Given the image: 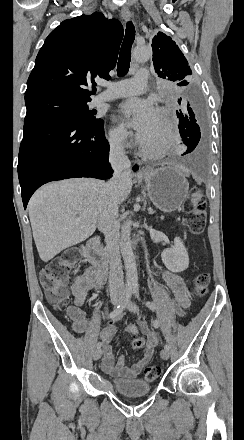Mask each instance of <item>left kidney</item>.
Here are the masks:
<instances>
[{
  "label": "left kidney",
  "instance_id": "obj_1",
  "mask_svg": "<svg viewBox=\"0 0 244 440\" xmlns=\"http://www.w3.org/2000/svg\"><path fill=\"white\" fill-rule=\"evenodd\" d=\"M162 262L170 272H184L189 266V256L181 238H174V246L161 254Z\"/></svg>",
  "mask_w": 244,
  "mask_h": 440
}]
</instances>
